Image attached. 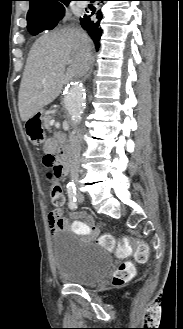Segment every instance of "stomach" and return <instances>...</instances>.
<instances>
[{"label":"stomach","mask_w":183,"mask_h":329,"mask_svg":"<svg viewBox=\"0 0 183 329\" xmlns=\"http://www.w3.org/2000/svg\"><path fill=\"white\" fill-rule=\"evenodd\" d=\"M43 113H44V111L41 109V110H39V111L37 112V114H35V115H39L40 118H42V117H43ZM29 137H30V136H29ZM43 141H44L43 138L32 140V142H33V143H36V144H38V143H42Z\"/></svg>","instance_id":"1"}]
</instances>
